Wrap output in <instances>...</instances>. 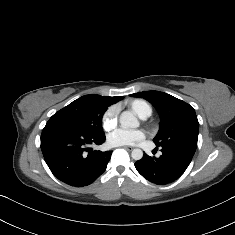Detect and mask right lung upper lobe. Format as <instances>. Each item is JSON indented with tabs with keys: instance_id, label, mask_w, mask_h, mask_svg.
<instances>
[{
	"instance_id": "1",
	"label": "right lung upper lobe",
	"mask_w": 235,
	"mask_h": 235,
	"mask_svg": "<svg viewBox=\"0 0 235 235\" xmlns=\"http://www.w3.org/2000/svg\"><path fill=\"white\" fill-rule=\"evenodd\" d=\"M121 99H123V96L107 97V96L90 94L82 96L77 100L93 110L105 112L108 106L120 101Z\"/></svg>"
}]
</instances>
